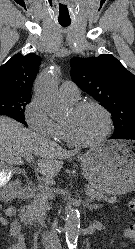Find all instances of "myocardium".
Returning a JSON list of instances; mask_svg holds the SVG:
<instances>
[{"label": "myocardium", "mask_w": 135, "mask_h": 249, "mask_svg": "<svg viewBox=\"0 0 135 249\" xmlns=\"http://www.w3.org/2000/svg\"><path fill=\"white\" fill-rule=\"evenodd\" d=\"M89 107H94V108H97L98 110L101 111V113L105 117L106 129H105L104 133L101 136H99L98 138L93 139V140H89V141H83V140H79L76 137H74L70 128L66 124H63L64 129H65V133H66V137H67V141H69L73 145H76L79 147H92V146H95V145L101 143L102 141H104L111 133L112 117H111V114L108 111V109L106 107H104L102 104L95 102V101H83V102L76 103L72 107V110L74 112H80V111H82L86 108H89Z\"/></svg>", "instance_id": "obj_1"}]
</instances>
